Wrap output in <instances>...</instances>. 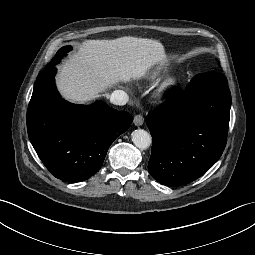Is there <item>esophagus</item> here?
<instances>
[{
	"label": "esophagus",
	"mask_w": 255,
	"mask_h": 255,
	"mask_svg": "<svg viewBox=\"0 0 255 255\" xmlns=\"http://www.w3.org/2000/svg\"><path fill=\"white\" fill-rule=\"evenodd\" d=\"M143 123H144V118H143L142 115H136V116L134 117V124H135L136 126H141V125H143Z\"/></svg>",
	"instance_id": "1"
}]
</instances>
